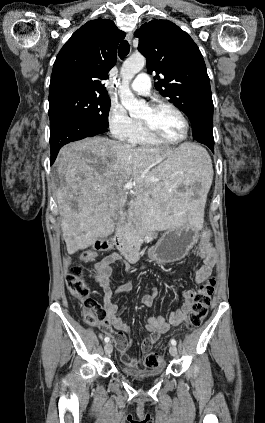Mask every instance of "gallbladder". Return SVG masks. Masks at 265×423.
<instances>
[{"instance_id":"obj_1","label":"gallbladder","mask_w":265,"mask_h":423,"mask_svg":"<svg viewBox=\"0 0 265 423\" xmlns=\"http://www.w3.org/2000/svg\"><path fill=\"white\" fill-rule=\"evenodd\" d=\"M118 217H119V215H118V214H116L113 218H114V220H117V219H118Z\"/></svg>"}]
</instances>
